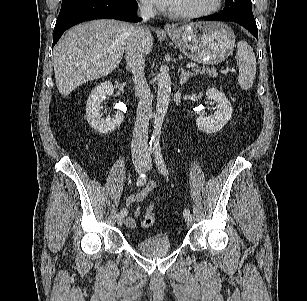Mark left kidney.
<instances>
[{"label":"left kidney","mask_w":307,"mask_h":301,"mask_svg":"<svg viewBox=\"0 0 307 301\" xmlns=\"http://www.w3.org/2000/svg\"><path fill=\"white\" fill-rule=\"evenodd\" d=\"M206 95L208 99L217 102V111L209 117L200 115L196 120V124L203 132L215 133L220 131L231 119L233 108L226 96L215 88H208Z\"/></svg>","instance_id":"obj_1"}]
</instances>
